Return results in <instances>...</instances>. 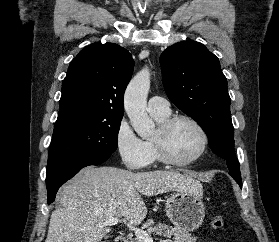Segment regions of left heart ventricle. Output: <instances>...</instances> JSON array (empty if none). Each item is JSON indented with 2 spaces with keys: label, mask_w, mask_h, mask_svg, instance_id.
<instances>
[{
  "label": "left heart ventricle",
  "mask_w": 279,
  "mask_h": 242,
  "mask_svg": "<svg viewBox=\"0 0 279 242\" xmlns=\"http://www.w3.org/2000/svg\"><path fill=\"white\" fill-rule=\"evenodd\" d=\"M167 145L174 158L187 160L199 151L201 137L192 124L187 121H179L171 128L168 134Z\"/></svg>",
  "instance_id": "left-heart-ventricle-1"
}]
</instances>
